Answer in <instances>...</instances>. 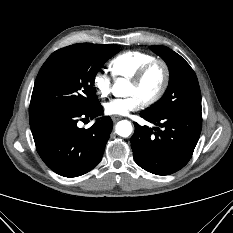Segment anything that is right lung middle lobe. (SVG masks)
Instances as JSON below:
<instances>
[{"label":"right lung middle lobe","instance_id":"obj_1","mask_svg":"<svg viewBox=\"0 0 233 233\" xmlns=\"http://www.w3.org/2000/svg\"><path fill=\"white\" fill-rule=\"evenodd\" d=\"M120 51L116 44L80 43L55 51L41 67L32 92L29 116L90 109L93 87L103 64Z\"/></svg>","mask_w":233,"mask_h":233}]
</instances>
